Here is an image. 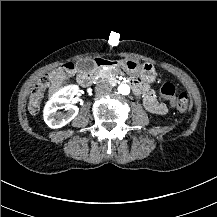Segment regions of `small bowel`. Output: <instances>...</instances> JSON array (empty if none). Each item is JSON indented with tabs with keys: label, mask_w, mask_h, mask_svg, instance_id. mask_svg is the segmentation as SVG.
Instances as JSON below:
<instances>
[{
	"label": "small bowel",
	"mask_w": 217,
	"mask_h": 217,
	"mask_svg": "<svg viewBox=\"0 0 217 217\" xmlns=\"http://www.w3.org/2000/svg\"><path fill=\"white\" fill-rule=\"evenodd\" d=\"M136 94H143L144 107L151 113L164 115L167 112L166 104L159 102L154 91L148 86L138 82L137 88L134 90Z\"/></svg>",
	"instance_id": "small-bowel-1"
}]
</instances>
